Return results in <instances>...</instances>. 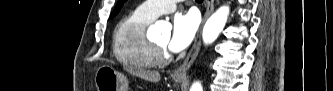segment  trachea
<instances>
[{
	"instance_id": "3493384b",
	"label": "trachea",
	"mask_w": 333,
	"mask_h": 91,
	"mask_svg": "<svg viewBox=\"0 0 333 91\" xmlns=\"http://www.w3.org/2000/svg\"><path fill=\"white\" fill-rule=\"evenodd\" d=\"M197 2H202V0H196Z\"/></svg>"
}]
</instances>
